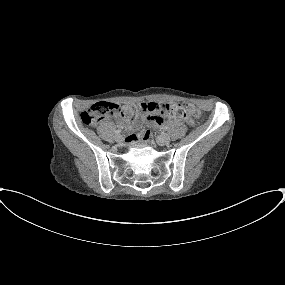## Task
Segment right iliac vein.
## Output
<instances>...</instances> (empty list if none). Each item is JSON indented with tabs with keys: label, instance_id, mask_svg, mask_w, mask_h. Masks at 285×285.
Here are the masks:
<instances>
[{
	"label": "right iliac vein",
	"instance_id": "63e3f726",
	"mask_svg": "<svg viewBox=\"0 0 285 285\" xmlns=\"http://www.w3.org/2000/svg\"><path fill=\"white\" fill-rule=\"evenodd\" d=\"M123 140H124L123 136H121V135H117V136H116V141H117L118 143H122Z\"/></svg>",
	"mask_w": 285,
	"mask_h": 285
}]
</instances>
